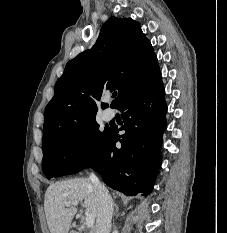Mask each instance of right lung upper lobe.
Returning a JSON list of instances; mask_svg holds the SVG:
<instances>
[{
  "label": "right lung upper lobe",
  "mask_w": 227,
  "mask_h": 233,
  "mask_svg": "<svg viewBox=\"0 0 227 233\" xmlns=\"http://www.w3.org/2000/svg\"><path fill=\"white\" fill-rule=\"evenodd\" d=\"M161 80L153 47L138 22L111 17L95 45L70 60L45 109L43 145L95 120L98 101L118 90L117 108ZM105 108V104H101Z\"/></svg>",
  "instance_id": "1"
}]
</instances>
